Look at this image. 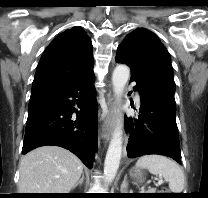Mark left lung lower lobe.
<instances>
[{
  "instance_id": "0a47b994",
  "label": "left lung lower lobe",
  "mask_w": 208,
  "mask_h": 198,
  "mask_svg": "<svg viewBox=\"0 0 208 198\" xmlns=\"http://www.w3.org/2000/svg\"><path fill=\"white\" fill-rule=\"evenodd\" d=\"M116 62L129 66L126 56L117 51ZM130 81L137 83L141 105L138 118H125L130 134L127 155L130 158L149 154L171 157L180 163L181 152L176 124V106L142 83L131 71Z\"/></svg>"
}]
</instances>
